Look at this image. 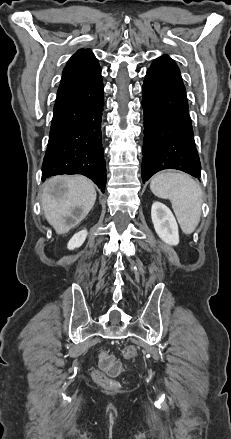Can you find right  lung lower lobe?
<instances>
[{
    "label": "right lung lower lobe",
    "instance_id": "98d812e1",
    "mask_svg": "<svg viewBox=\"0 0 231 439\" xmlns=\"http://www.w3.org/2000/svg\"><path fill=\"white\" fill-rule=\"evenodd\" d=\"M103 106L101 73L57 96L42 164V181L53 175L82 174L104 192L106 164L100 128Z\"/></svg>",
    "mask_w": 231,
    "mask_h": 439
}]
</instances>
